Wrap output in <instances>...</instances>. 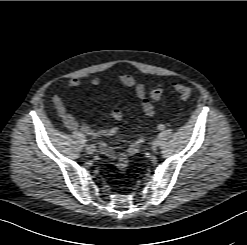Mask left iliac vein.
Listing matches in <instances>:
<instances>
[{"instance_id":"1","label":"left iliac vein","mask_w":247,"mask_h":245,"mask_svg":"<svg viewBox=\"0 0 247 245\" xmlns=\"http://www.w3.org/2000/svg\"><path fill=\"white\" fill-rule=\"evenodd\" d=\"M157 147H158V140L155 139V140L152 142V144H151V148H152L153 151H155V150L157 149Z\"/></svg>"}]
</instances>
